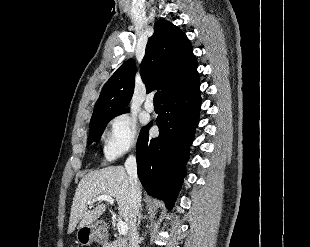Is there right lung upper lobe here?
Instances as JSON below:
<instances>
[{"instance_id":"1","label":"right lung upper lobe","mask_w":310,"mask_h":247,"mask_svg":"<svg viewBox=\"0 0 310 247\" xmlns=\"http://www.w3.org/2000/svg\"><path fill=\"white\" fill-rule=\"evenodd\" d=\"M198 63L189 39L175 25L160 19L149 38L140 73L147 92L162 91L163 99L184 91L199 81ZM135 62H124L104 85L91 122L126 112L134 90Z\"/></svg>"}]
</instances>
